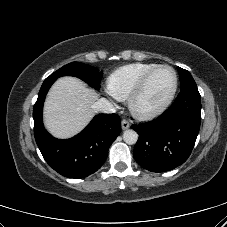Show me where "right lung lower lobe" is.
I'll list each match as a JSON object with an SVG mask.
<instances>
[{
	"mask_svg": "<svg viewBox=\"0 0 227 227\" xmlns=\"http://www.w3.org/2000/svg\"><path fill=\"white\" fill-rule=\"evenodd\" d=\"M55 80L44 81L33 108L34 136L45 161L68 178H84L96 172L105 162L108 149L121 131L116 114H100L73 138L52 137L42 122L43 103Z\"/></svg>",
	"mask_w": 227,
	"mask_h": 227,
	"instance_id": "1",
	"label": "right lung lower lobe"
}]
</instances>
